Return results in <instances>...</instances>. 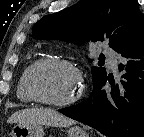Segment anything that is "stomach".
<instances>
[{"label":"stomach","mask_w":144,"mask_h":137,"mask_svg":"<svg viewBox=\"0 0 144 137\" xmlns=\"http://www.w3.org/2000/svg\"><path fill=\"white\" fill-rule=\"evenodd\" d=\"M68 137H89L79 126L68 129ZM12 137H44V129L41 125L17 124L12 128Z\"/></svg>","instance_id":"obj_1"}]
</instances>
